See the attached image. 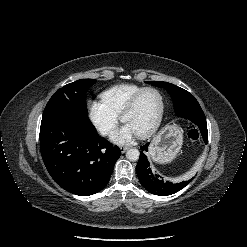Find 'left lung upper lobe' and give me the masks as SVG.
<instances>
[{"label": "left lung upper lobe", "instance_id": "obj_1", "mask_svg": "<svg viewBox=\"0 0 247 247\" xmlns=\"http://www.w3.org/2000/svg\"><path fill=\"white\" fill-rule=\"evenodd\" d=\"M152 85L164 88L171 96L177 116L196 125L199 121L206 120L198 101L188 91L168 82L148 81Z\"/></svg>", "mask_w": 247, "mask_h": 247}]
</instances>
